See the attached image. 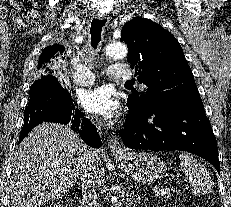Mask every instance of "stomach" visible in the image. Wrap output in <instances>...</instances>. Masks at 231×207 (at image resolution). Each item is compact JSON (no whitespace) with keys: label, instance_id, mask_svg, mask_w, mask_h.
<instances>
[{"label":"stomach","instance_id":"0dacf381","mask_svg":"<svg viewBox=\"0 0 231 207\" xmlns=\"http://www.w3.org/2000/svg\"><path fill=\"white\" fill-rule=\"evenodd\" d=\"M116 159L120 168L135 181L150 184L163 177L166 172L164 162L148 152H125Z\"/></svg>","mask_w":231,"mask_h":207}]
</instances>
